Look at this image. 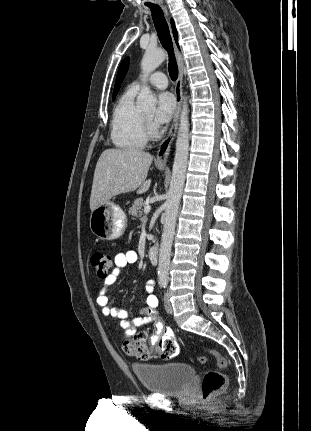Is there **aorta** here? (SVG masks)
I'll use <instances>...</instances> for the list:
<instances>
[{
  "instance_id": "obj_1",
  "label": "aorta",
  "mask_w": 311,
  "mask_h": 431,
  "mask_svg": "<svg viewBox=\"0 0 311 431\" xmlns=\"http://www.w3.org/2000/svg\"><path fill=\"white\" fill-rule=\"evenodd\" d=\"M167 54L159 48H147L141 62L144 86L137 98V108L143 110H156L157 98L152 94L150 88L145 84L149 74L159 68L160 64L166 60ZM189 156V118L188 104L185 100L180 116V124L177 132L175 158L172 168V178L165 202V221L161 235L158 263V281H168V271L170 265V255L175 231L176 217L185 184L187 160Z\"/></svg>"
}]
</instances>
